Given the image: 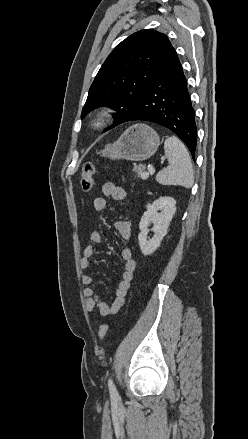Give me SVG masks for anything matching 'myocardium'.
Listing matches in <instances>:
<instances>
[{"label":"myocardium","mask_w":248,"mask_h":439,"mask_svg":"<svg viewBox=\"0 0 248 439\" xmlns=\"http://www.w3.org/2000/svg\"><path fill=\"white\" fill-rule=\"evenodd\" d=\"M111 119L110 110L104 109L97 112L90 120V127L93 130H99L103 128Z\"/></svg>","instance_id":"myocardium-1"}]
</instances>
